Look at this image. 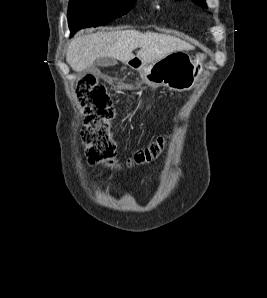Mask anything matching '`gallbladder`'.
<instances>
[{
    "label": "gallbladder",
    "instance_id": "obj_1",
    "mask_svg": "<svg viewBox=\"0 0 267 298\" xmlns=\"http://www.w3.org/2000/svg\"><path fill=\"white\" fill-rule=\"evenodd\" d=\"M114 64V61L111 58H102L95 61L94 66L87 68L88 73H93L95 71V66L107 67Z\"/></svg>",
    "mask_w": 267,
    "mask_h": 298
}]
</instances>
